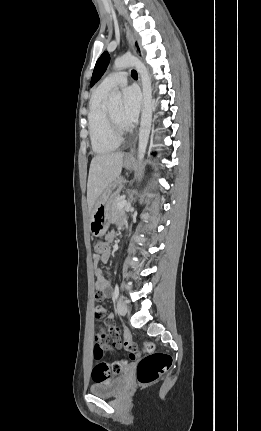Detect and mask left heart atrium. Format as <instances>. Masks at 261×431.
<instances>
[{
	"label": "left heart atrium",
	"mask_w": 261,
	"mask_h": 431,
	"mask_svg": "<svg viewBox=\"0 0 261 431\" xmlns=\"http://www.w3.org/2000/svg\"><path fill=\"white\" fill-rule=\"evenodd\" d=\"M123 104L120 119L125 127H131L140 110V94L136 87L128 86L122 91Z\"/></svg>",
	"instance_id": "1"
}]
</instances>
